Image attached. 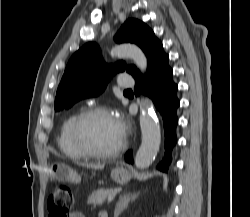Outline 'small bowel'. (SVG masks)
Here are the masks:
<instances>
[{
	"label": "small bowel",
	"mask_w": 250,
	"mask_h": 217,
	"mask_svg": "<svg viewBox=\"0 0 250 217\" xmlns=\"http://www.w3.org/2000/svg\"><path fill=\"white\" fill-rule=\"evenodd\" d=\"M69 217H85V216L82 212L75 211V212L71 213Z\"/></svg>",
	"instance_id": "c3829d8e"
}]
</instances>
